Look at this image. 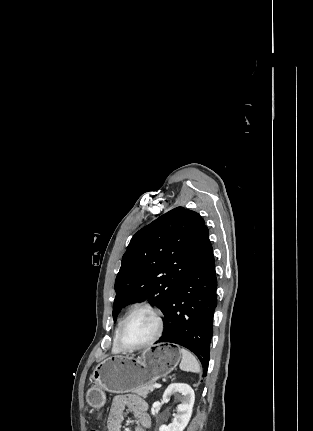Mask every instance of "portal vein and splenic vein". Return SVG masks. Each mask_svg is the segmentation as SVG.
<instances>
[{"mask_svg":"<svg viewBox=\"0 0 313 431\" xmlns=\"http://www.w3.org/2000/svg\"><path fill=\"white\" fill-rule=\"evenodd\" d=\"M153 387H154V388H160V387H161V385H160V384H153Z\"/></svg>","mask_w":313,"mask_h":431,"instance_id":"portal-vein-and-splenic-vein-1","label":"portal vein and splenic vein"}]
</instances>
